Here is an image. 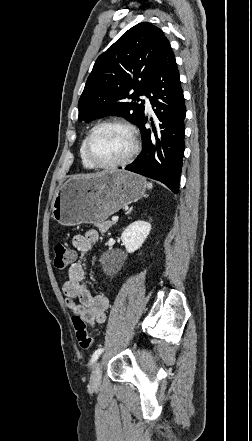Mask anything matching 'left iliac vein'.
Returning a JSON list of instances; mask_svg holds the SVG:
<instances>
[{
  "instance_id": "obj_1",
  "label": "left iliac vein",
  "mask_w": 252,
  "mask_h": 441,
  "mask_svg": "<svg viewBox=\"0 0 252 441\" xmlns=\"http://www.w3.org/2000/svg\"><path fill=\"white\" fill-rule=\"evenodd\" d=\"M101 369H102V363L97 362L91 372L90 376V385L93 388L98 387L101 384Z\"/></svg>"
}]
</instances>
